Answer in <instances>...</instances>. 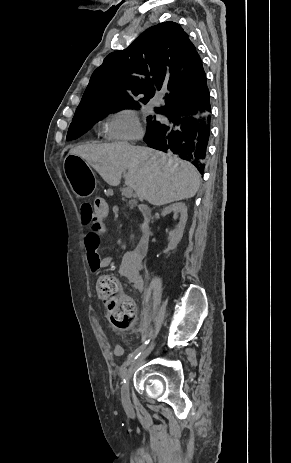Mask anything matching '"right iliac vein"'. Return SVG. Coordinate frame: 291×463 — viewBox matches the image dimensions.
<instances>
[{
  "instance_id": "1",
  "label": "right iliac vein",
  "mask_w": 291,
  "mask_h": 463,
  "mask_svg": "<svg viewBox=\"0 0 291 463\" xmlns=\"http://www.w3.org/2000/svg\"><path fill=\"white\" fill-rule=\"evenodd\" d=\"M153 349V345L147 347L145 351L142 353V355L136 360L133 361L131 366L129 367L127 374L125 376V383H123L122 388H121V396H122V403L125 409H129L131 406L130 402V396H129V379L137 365V363L145 356H147L151 350Z\"/></svg>"
}]
</instances>
